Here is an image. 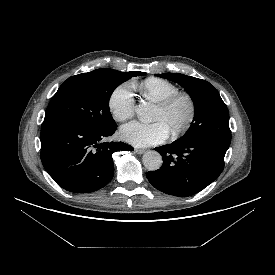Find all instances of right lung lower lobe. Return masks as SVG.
Wrapping results in <instances>:
<instances>
[{
	"mask_svg": "<svg viewBox=\"0 0 275 275\" xmlns=\"http://www.w3.org/2000/svg\"><path fill=\"white\" fill-rule=\"evenodd\" d=\"M117 129L68 120L45 121L41 127V160L53 180L73 193L101 189L113 178L112 154L132 151L123 142H103Z\"/></svg>",
	"mask_w": 275,
	"mask_h": 275,
	"instance_id": "right-lung-lower-lobe-1",
	"label": "right lung lower lobe"
}]
</instances>
